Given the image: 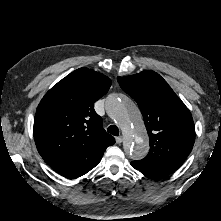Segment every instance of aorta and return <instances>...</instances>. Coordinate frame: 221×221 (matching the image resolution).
<instances>
[{"label": "aorta", "mask_w": 221, "mask_h": 221, "mask_svg": "<svg viewBox=\"0 0 221 221\" xmlns=\"http://www.w3.org/2000/svg\"><path fill=\"white\" fill-rule=\"evenodd\" d=\"M106 111L122 130L125 153L134 160L144 158L149 141L137 106L126 96L112 95L106 102Z\"/></svg>", "instance_id": "762f6f07"}]
</instances>
